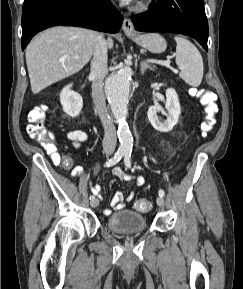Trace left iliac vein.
<instances>
[{
	"instance_id": "obj_1",
	"label": "left iliac vein",
	"mask_w": 243,
	"mask_h": 289,
	"mask_svg": "<svg viewBox=\"0 0 243 289\" xmlns=\"http://www.w3.org/2000/svg\"><path fill=\"white\" fill-rule=\"evenodd\" d=\"M156 202H157V205L160 207H163L165 204L164 199L161 196L157 197Z\"/></svg>"
}]
</instances>
